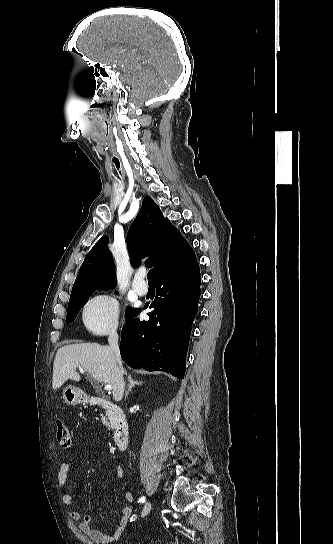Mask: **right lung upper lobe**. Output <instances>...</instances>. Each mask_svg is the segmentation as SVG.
<instances>
[{
	"instance_id": "right-lung-upper-lobe-1",
	"label": "right lung upper lobe",
	"mask_w": 333,
	"mask_h": 544,
	"mask_svg": "<svg viewBox=\"0 0 333 544\" xmlns=\"http://www.w3.org/2000/svg\"><path fill=\"white\" fill-rule=\"evenodd\" d=\"M107 242L108 238L103 236L87 254L70 298L91 290L116 286L115 266ZM127 245L134 266H138L142 258L150 256L146 264L154 267L157 279L197 262L189 244L164 218L150 197L143 199L141 209L128 231Z\"/></svg>"
}]
</instances>
